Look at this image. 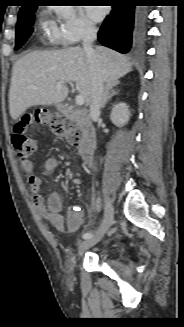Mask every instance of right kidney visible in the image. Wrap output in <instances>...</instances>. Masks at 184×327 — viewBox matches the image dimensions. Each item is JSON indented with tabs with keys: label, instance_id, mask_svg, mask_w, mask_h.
<instances>
[{
	"label": "right kidney",
	"instance_id": "right-kidney-1",
	"mask_svg": "<svg viewBox=\"0 0 184 327\" xmlns=\"http://www.w3.org/2000/svg\"><path fill=\"white\" fill-rule=\"evenodd\" d=\"M130 118V111L126 103L120 102L116 104L111 111L110 119L113 124L116 126H123L125 125Z\"/></svg>",
	"mask_w": 184,
	"mask_h": 327
}]
</instances>
